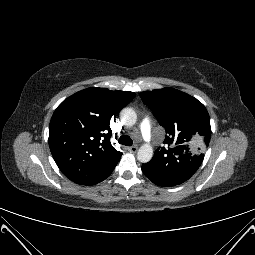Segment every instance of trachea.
Listing matches in <instances>:
<instances>
[{
	"mask_svg": "<svg viewBox=\"0 0 255 255\" xmlns=\"http://www.w3.org/2000/svg\"><path fill=\"white\" fill-rule=\"evenodd\" d=\"M119 143L125 146H132L133 141L128 135H122L119 138Z\"/></svg>",
	"mask_w": 255,
	"mask_h": 255,
	"instance_id": "3493384b",
	"label": "trachea"
}]
</instances>
